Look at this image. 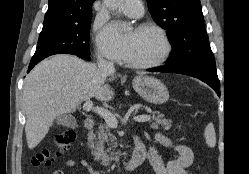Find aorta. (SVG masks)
I'll use <instances>...</instances> for the list:
<instances>
[{
  "label": "aorta",
  "instance_id": "1",
  "mask_svg": "<svg viewBox=\"0 0 249 174\" xmlns=\"http://www.w3.org/2000/svg\"><path fill=\"white\" fill-rule=\"evenodd\" d=\"M123 2L124 0H105L106 6L111 10H116ZM126 28L129 26L127 25Z\"/></svg>",
  "mask_w": 249,
  "mask_h": 174
}]
</instances>
